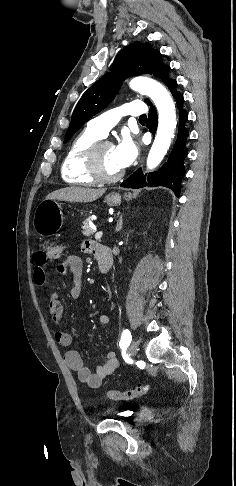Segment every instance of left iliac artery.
Here are the masks:
<instances>
[{
    "label": "left iliac artery",
    "instance_id": "left-iliac-artery-1",
    "mask_svg": "<svg viewBox=\"0 0 236 486\" xmlns=\"http://www.w3.org/2000/svg\"><path fill=\"white\" fill-rule=\"evenodd\" d=\"M131 340H132V336L130 331L128 329H124L121 336V340L119 342L120 347L121 348L127 347L131 343Z\"/></svg>",
    "mask_w": 236,
    "mask_h": 486
}]
</instances>
